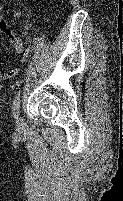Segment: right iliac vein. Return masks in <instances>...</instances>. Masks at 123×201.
Here are the masks:
<instances>
[{
  "instance_id": "63e3f726",
  "label": "right iliac vein",
  "mask_w": 123,
  "mask_h": 201,
  "mask_svg": "<svg viewBox=\"0 0 123 201\" xmlns=\"http://www.w3.org/2000/svg\"><path fill=\"white\" fill-rule=\"evenodd\" d=\"M16 126L19 130L22 128V119L20 117H18L16 120Z\"/></svg>"
}]
</instances>
